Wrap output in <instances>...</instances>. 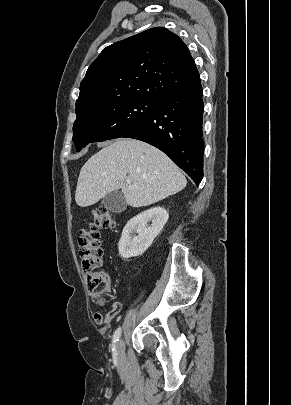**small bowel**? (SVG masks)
<instances>
[{"instance_id":"c3829d8e","label":"small bowel","mask_w":291,"mask_h":405,"mask_svg":"<svg viewBox=\"0 0 291 405\" xmlns=\"http://www.w3.org/2000/svg\"><path fill=\"white\" fill-rule=\"evenodd\" d=\"M119 310H120V304L114 303V304H112L110 311L107 313V315L105 317H103L100 312H97L94 315V320L99 325H101L103 322H109L119 312Z\"/></svg>"}]
</instances>
